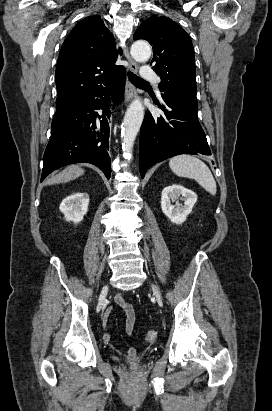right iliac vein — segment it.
Returning a JSON list of instances; mask_svg holds the SVG:
<instances>
[{
  "instance_id": "obj_1",
  "label": "right iliac vein",
  "mask_w": 272,
  "mask_h": 411,
  "mask_svg": "<svg viewBox=\"0 0 272 411\" xmlns=\"http://www.w3.org/2000/svg\"><path fill=\"white\" fill-rule=\"evenodd\" d=\"M108 289H109L108 286H106L102 291V294H101L100 299H99V305L100 306H102L105 302V298H106V294L108 292Z\"/></svg>"
}]
</instances>
